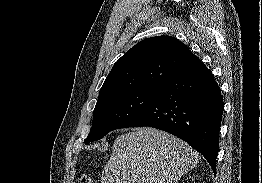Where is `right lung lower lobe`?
I'll use <instances>...</instances> for the list:
<instances>
[{
    "label": "right lung lower lobe",
    "instance_id": "obj_1",
    "mask_svg": "<svg viewBox=\"0 0 262 183\" xmlns=\"http://www.w3.org/2000/svg\"><path fill=\"white\" fill-rule=\"evenodd\" d=\"M223 109L220 87L203 65L159 88L124 128L151 126L171 133L200 152L216 173Z\"/></svg>",
    "mask_w": 262,
    "mask_h": 183
}]
</instances>
